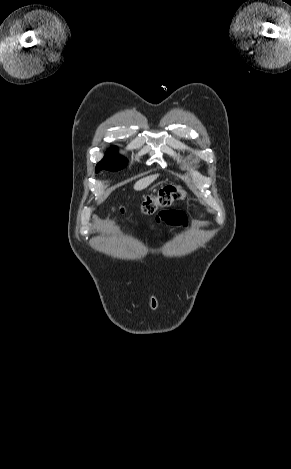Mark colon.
<instances>
[{
	"label": "colon",
	"mask_w": 291,
	"mask_h": 469,
	"mask_svg": "<svg viewBox=\"0 0 291 469\" xmlns=\"http://www.w3.org/2000/svg\"><path fill=\"white\" fill-rule=\"evenodd\" d=\"M184 197L185 193L181 188L167 186L159 190L157 194L144 197L141 203V211L143 214L151 215L158 209L170 206L175 201L181 200Z\"/></svg>",
	"instance_id": "obj_1"
}]
</instances>
